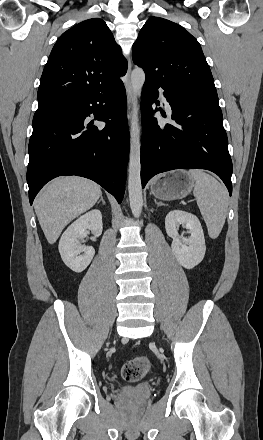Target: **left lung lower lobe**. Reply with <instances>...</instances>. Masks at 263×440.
Masks as SVG:
<instances>
[{
	"label": "left lung lower lobe",
	"instance_id": "left-lung-lower-lobe-1",
	"mask_svg": "<svg viewBox=\"0 0 263 440\" xmlns=\"http://www.w3.org/2000/svg\"><path fill=\"white\" fill-rule=\"evenodd\" d=\"M158 88L164 89L171 106V124L158 123L152 116V103L158 98ZM141 99L142 187L158 173L197 168L216 173L231 195L233 168L218 100L189 97L170 85L148 80L144 83Z\"/></svg>",
	"mask_w": 263,
	"mask_h": 440
}]
</instances>
